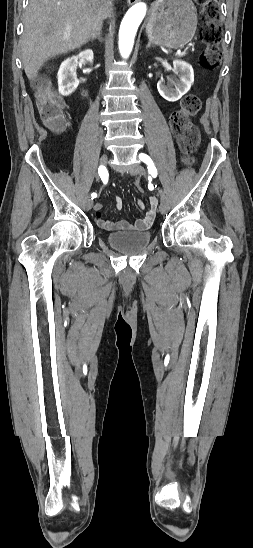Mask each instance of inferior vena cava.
I'll use <instances>...</instances> for the list:
<instances>
[{
    "instance_id": "1",
    "label": "inferior vena cava",
    "mask_w": 253,
    "mask_h": 548,
    "mask_svg": "<svg viewBox=\"0 0 253 548\" xmlns=\"http://www.w3.org/2000/svg\"><path fill=\"white\" fill-rule=\"evenodd\" d=\"M105 6H106V13H107V15H110L111 12H112V10H113V2H112V0H106Z\"/></svg>"
}]
</instances>
